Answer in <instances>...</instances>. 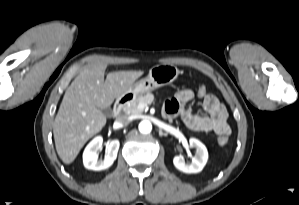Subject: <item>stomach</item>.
<instances>
[{
	"label": "stomach",
	"instance_id": "0dacf381",
	"mask_svg": "<svg viewBox=\"0 0 299 205\" xmlns=\"http://www.w3.org/2000/svg\"><path fill=\"white\" fill-rule=\"evenodd\" d=\"M179 73V69L174 65L159 64L153 66L145 78L135 82L121 97L134 100L141 95L172 83L177 79Z\"/></svg>",
	"mask_w": 299,
	"mask_h": 205
}]
</instances>
